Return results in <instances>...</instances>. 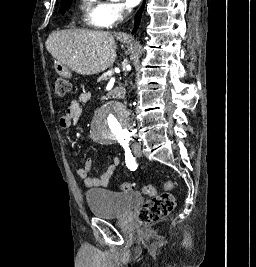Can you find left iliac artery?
Segmentation results:
<instances>
[{
	"mask_svg": "<svg viewBox=\"0 0 256 267\" xmlns=\"http://www.w3.org/2000/svg\"><path fill=\"white\" fill-rule=\"evenodd\" d=\"M118 142L125 149V162H126V166L130 170H135L137 168V164H136L135 158L132 156V153H131L130 148L128 147V143L125 142L124 140H119Z\"/></svg>",
	"mask_w": 256,
	"mask_h": 267,
	"instance_id": "obj_1",
	"label": "left iliac artery"
}]
</instances>
